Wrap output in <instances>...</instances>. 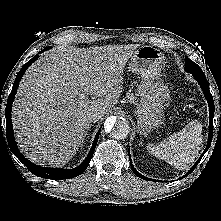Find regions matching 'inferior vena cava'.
<instances>
[{
    "mask_svg": "<svg viewBox=\"0 0 221 221\" xmlns=\"http://www.w3.org/2000/svg\"><path fill=\"white\" fill-rule=\"evenodd\" d=\"M104 115V112L102 111H98V112H94V113H91L88 117V120L90 122H97L99 121V119Z\"/></svg>",
    "mask_w": 221,
    "mask_h": 221,
    "instance_id": "obj_1",
    "label": "inferior vena cava"
}]
</instances>
